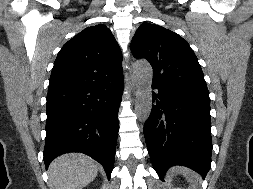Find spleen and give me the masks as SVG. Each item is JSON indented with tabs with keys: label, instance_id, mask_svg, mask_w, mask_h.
<instances>
[{
	"label": "spleen",
	"instance_id": "1",
	"mask_svg": "<svg viewBox=\"0 0 253 189\" xmlns=\"http://www.w3.org/2000/svg\"><path fill=\"white\" fill-rule=\"evenodd\" d=\"M179 171L187 179V181H193L196 178L195 173L187 168H179Z\"/></svg>",
	"mask_w": 253,
	"mask_h": 189
}]
</instances>
